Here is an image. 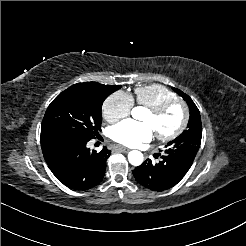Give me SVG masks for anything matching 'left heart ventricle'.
I'll return each instance as SVG.
<instances>
[{
	"instance_id": "1",
	"label": "left heart ventricle",
	"mask_w": 246,
	"mask_h": 246,
	"mask_svg": "<svg viewBox=\"0 0 246 246\" xmlns=\"http://www.w3.org/2000/svg\"><path fill=\"white\" fill-rule=\"evenodd\" d=\"M181 116V108L176 106L158 118H153L146 111L142 121L149 124L156 134H167L176 128L181 120Z\"/></svg>"
}]
</instances>
